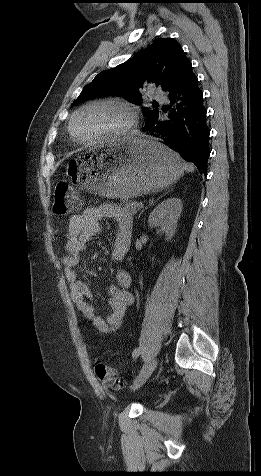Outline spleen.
I'll return each instance as SVG.
<instances>
[{
	"label": "spleen",
	"instance_id": "3e777b00",
	"mask_svg": "<svg viewBox=\"0 0 261 476\" xmlns=\"http://www.w3.org/2000/svg\"><path fill=\"white\" fill-rule=\"evenodd\" d=\"M183 167L187 172H193L194 171V166L192 164L188 163H183Z\"/></svg>",
	"mask_w": 261,
	"mask_h": 476
}]
</instances>
